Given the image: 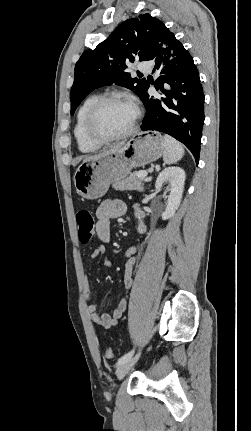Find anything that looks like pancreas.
Masks as SVG:
<instances>
[{
  "label": "pancreas",
  "mask_w": 251,
  "mask_h": 431,
  "mask_svg": "<svg viewBox=\"0 0 251 431\" xmlns=\"http://www.w3.org/2000/svg\"><path fill=\"white\" fill-rule=\"evenodd\" d=\"M139 172L129 174L126 178L116 181L112 187L115 190H138L143 191L144 189V177H138Z\"/></svg>",
  "instance_id": "1"
}]
</instances>
